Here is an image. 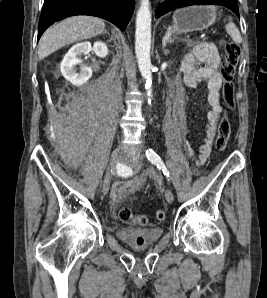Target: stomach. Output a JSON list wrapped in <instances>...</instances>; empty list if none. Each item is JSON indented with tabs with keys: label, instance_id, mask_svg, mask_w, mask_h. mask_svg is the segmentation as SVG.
Segmentation results:
<instances>
[{
	"label": "stomach",
	"instance_id": "stomach-1",
	"mask_svg": "<svg viewBox=\"0 0 267 298\" xmlns=\"http://www.w3.org/2000/svg\"><path fill=\"white\" fill-rule=\"evenodd\" d=\"M216 19L214 6H190L174 13L173 24L169 29L174 34L202 31L213 25Z\"/></svg>",
	"mask_w": 267,
	"mask_h": 298
}]
</instances>
